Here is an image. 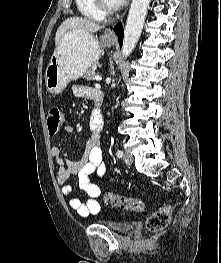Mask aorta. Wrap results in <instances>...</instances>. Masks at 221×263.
Masks as SVG:
<instances>
[{
  "label": "aorta",
  "instance_id": "aorta-1",
  "mask_svg": "<svg viewBox=\"0 0 221 263\" xmlns=\"http://www.w3.org/2000/svg\"><path fill=\"white\" fill-rule=\"evenodd\" d=\"M151 0H132L124 30L122 57L129 56L138 42Z\"/></svg>",
  "mask_w": 221,
  "mask_h": 263
}]
</instances>
